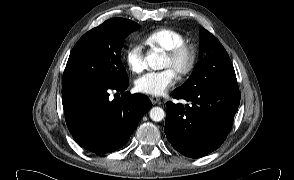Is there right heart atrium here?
Wrapping results in <instances>:
<instances>
[{"label": "right heart atrium", "instance_id": "right-heart-atrium-1", "mask_svg": "<svg viewBox=\"0 0 294 180\" xmlns=\"http://www.w3.org/2000/svg\"><path fill=\"white\" fill-rule=\"evenodd\" d=\"M122 58L131 72L138 73L143 70L144 50L136 41H131L122 52Z\"/></svg>", "mask_w": 294, "mask_h": 180}]
</instances>
